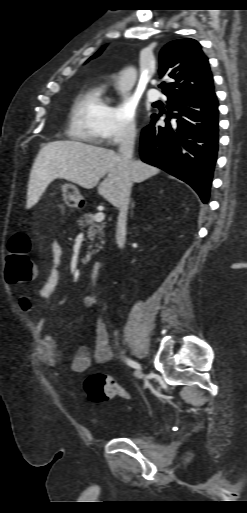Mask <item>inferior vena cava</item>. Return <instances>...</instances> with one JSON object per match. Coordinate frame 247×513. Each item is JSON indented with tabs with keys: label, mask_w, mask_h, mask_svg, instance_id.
I'll use <instances>...</instances> for the list:
<instances>
[{
	"label": "inferior vena cava",
	"mask_w": 247,
	"mask_h": 513,
	"mask_svg": "<svg viewBox=\"0 0 247 513\" xmlns=\"http://www.w3.org/2000/svg\"><path fill=\"white\" fill-rule=\"evenodd\" d=\"M136 131L127 129L120 140L119 155L124 163V167L128 173L134 170L133 151L135 145ZM131 185L129 183L120 186V192L113 205L119 209L118 229H117V245L119 248L124 247L125 242V224L130 202Z\"/></svg>",
	"instance_id": "obj_1"
}]
</instances>
